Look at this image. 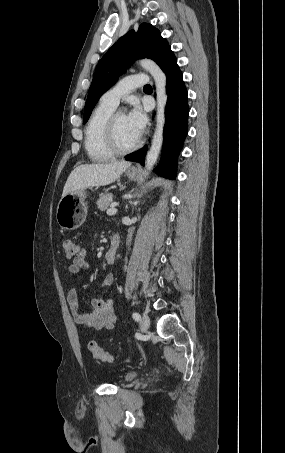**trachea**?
I'll return each mask as SVG.
<instances>
[{"mask_svg":"<svg viewBox=\"0 0 285 453\" xmlns=\"http://www.w3.org/2000/svg\"><path fill=\"white\" fill-rule=\"evenodd\" d=\"M151 86L150 85H145L144 88H150Z\"/></svg>","mask_w":285,"mask_h":453,"instance_id":"3493384b","label":"trachea"}]
</instances>
